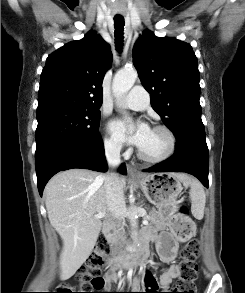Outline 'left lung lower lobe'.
Wrapping results in <instances>:
<instances>
[{
    "instance_id": "0a47b994",
    "label": "left lung lower lobe",
    "mask_w": 245,
    "mask_h": 293,
    "mask_svg": "<svg viewBox=\"0 0 245 293\" xmlns=\"http://www.w3.org/2000/svg\"><path fill=\"white\" fill-rule=\"evenodd\" d=\"M173 156L146 172H186L198 178L208 188L209 154L205 137L184 135L176 138Z\"/></svg>"
}]
</instances>
